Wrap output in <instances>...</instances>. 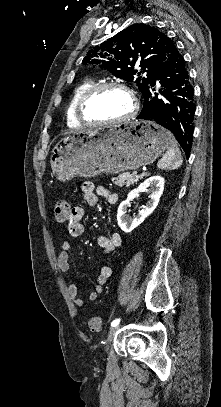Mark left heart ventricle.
<instances>
[{
    "mask_svg": "<svg viewBox=\"0 0 221 407\" xmlns=\"http://www.w3.org/2000/svg\"><path fill=\"white\" fill-rule=\"evenodd\" d=\"M132 109V99L121 89H108L101 92L88 106L92 118L114 120L125 116Z\"/></svg>",
    "mask_w": 221,
    "mask_h": 407,
    "instance_id": "left-heart-ventricle-1",
    "label": "left heart ventricle"
}]
</instances>
